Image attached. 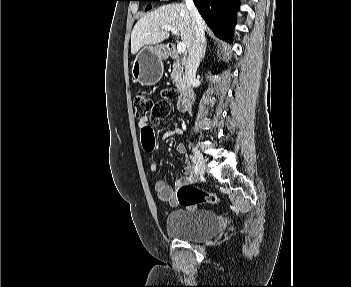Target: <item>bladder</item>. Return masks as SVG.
I'll return each instance as SVG.
<instances>
[{
	"mask_svg": "<svg viewBox=\"0 0 351 287\" xmlns=\"http://www.w3.org/2000/svg\"><path fill=\"white\" fill-rule=\"evenodd\" d=\"M219 226L218 216L210 210H173L166 219L168 235L186 241L209 239L219 230Z\"/></svg>",
	"mask_w": 351,
	"mask_h": 287,
	"instance_id": "31cf9c89",
	"label": "bladder"
}]
</instances>
